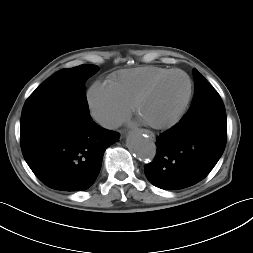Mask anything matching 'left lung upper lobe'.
<instances>
[{
  "instance_id": "1",
  "label": "left lung upper lobe",
  "mask_w": 253,
  "mask_h": 253,
  "mask_svg": "<svg viewBox=\"0 0 253 253\" xmlns=\"http://www.w3.org/2000/svg\"><path fill=\"white\" fill-rule=\"evenodd\" d=\"M195 95L183 120L198 119L212 114H225L223 101L217 91L194 69Z\"/></svg>"
}]
</instances>
